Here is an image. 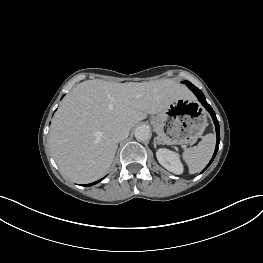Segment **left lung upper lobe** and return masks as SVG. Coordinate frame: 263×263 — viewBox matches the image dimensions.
I'll use <instances>...</instances> for the list:
<instances>
[{
    "instance_id": "obj_1",
    "label": "left lung upper lobe",
    "mask_w": 263,
    "mask_h": 263,
    "mask_svg": "<svg viewBox=\"0 0 263 263\" xmlns=\"http://www.w3.org/2000/svg\"><path fill=\"white\" fill-rule=\"evenodd\" d=\"M183 83H188L187 81H184Z\"/></svg>"
}]
</instances>
